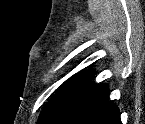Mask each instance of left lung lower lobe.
I'll return each mask as SVG.
<instances>
[{
  "instance_id": "obj_1",
  "label": "left lung lower lobe",
  "mask_w": 145,
  "mask_h": 124,
  "mask_svg": "<svg viewBox=\"0 0 145 124\" xmlns=\"http://www.w3.org/2000/svg\"><path fill=\"white\" fill-rule=\"evenodd\" d=\"M108 97L106 84L90 80L45 124H122L118 107Z\"/></svg>"
}]
</instances>
